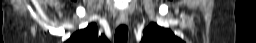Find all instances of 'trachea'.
<instances>
[{"label":"trachea","mask_w":256,"mask_h":43,"mask_svg":"<svg viewBox=\"0 0 256 43\" xmlns=\"http://www.w3.org/2000/svg\"><path fill=\"white\" fill-rule=\"evenodd\" d=\"M128 27L126 24H121L115 31V43H127Z\"/></svg>","instance_id":"trachea-1"}]
</instances>
